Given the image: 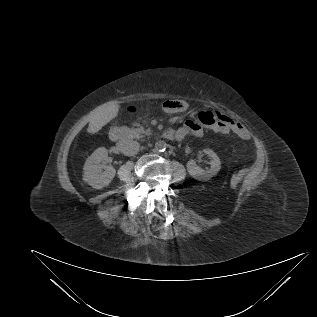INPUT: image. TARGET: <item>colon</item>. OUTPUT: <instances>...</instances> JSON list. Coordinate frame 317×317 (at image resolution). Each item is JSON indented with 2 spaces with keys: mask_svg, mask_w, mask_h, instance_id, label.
<instances>
[{
  "mask_svg": "<svg viewBox=\"0 0 317 317\" xmlns=\"http://www.w3.org/2000/svg\"><path fill=\"white\" fill-rule=\"evenodd\" d=\"M199 120L202 124L213 127L219 123V114L213 111H202L199 113Z\"/></svg>",
  "mask_w": 317,
  "mask_h": 317,
  "instance_id": "obj_1",
  "label": "colon"
}]
</instances>
